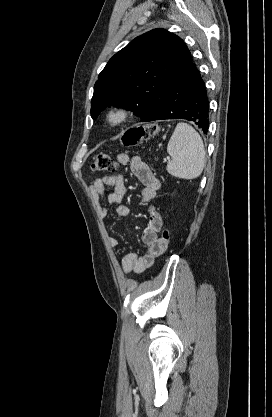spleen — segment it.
Listing matches in <instances>:
<instances>
[{
	"mask_svg": "<svg viewBox=\"0 0 272 417\" xmlns=\"http://www.w3.org/2000/svg\"><path fill=\"white\" fill-rule=\"evenodd\" d=\"M167 152L171 156L166 167L169 174L182 179H194L201 175L206 152L202 138L193 127L178 123L168 142Z\"/></svg>",
	"mask_w": 272,
	"mask_h": 417,
	"instance_id": "obj_1",
	"label": "spleen"
}]
</instances>
